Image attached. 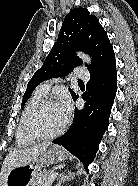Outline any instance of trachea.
<instances>
[{
    "mask_svg": "<svg viewBox=\"0 0 138 186\" xmlns=\"http://www.w3.org/2000/svg\"><path fill=\"white\" fill-rule=\"evenodd\" d=\"M78 82H79V83H83V81H82V80H79Z\"/></svg>",
    "mask_w": 138,
    "mask_h": 186,
    "instance_id": "trachea-1",
    "label": "trachea"
}]
</instances>
